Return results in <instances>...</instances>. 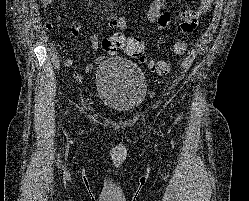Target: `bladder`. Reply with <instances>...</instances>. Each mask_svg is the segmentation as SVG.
I'll use <instances>...</instances> for the list:
<instances>
[{
	"label": "bladder",
	"mask_w": 249,
	"mask_h": 201,
	"mask_svg": "<svg viewBox=\"0 0 249 201\" xmlns=\"http://www.w3.org/2000/svg\"><path fill=\"white\" fill-rule=\"evenodd\" d=\"M99 101L120 114L138 109L146 96L141 69L125 57L105 58L95 73Z\"/></svg>",
	"instance_id": "bladder-1"
}]
</instances>
